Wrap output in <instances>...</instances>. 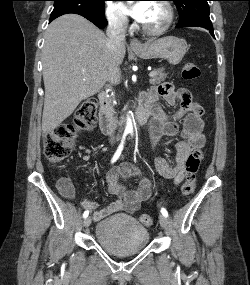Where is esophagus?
<instances>
[{"label":"esophagus","mask_w":250,"mask_h":285,"mask_svg":"<svg viewBox=\"0 0 250 285\" xmlns=\"http://www.w3.org/2000/svg\"><path fill=\"white\" fill-rule=\"evenodd\" d=\"M130 47L133 50H139L143 48V45L138 39H132L130 41Z\"/></svg>","instance_id":"1"}]
</instances>
